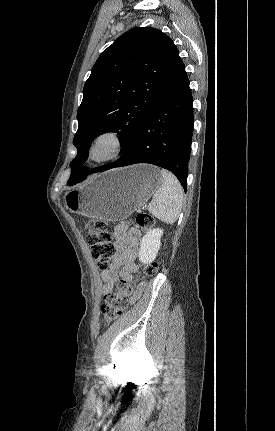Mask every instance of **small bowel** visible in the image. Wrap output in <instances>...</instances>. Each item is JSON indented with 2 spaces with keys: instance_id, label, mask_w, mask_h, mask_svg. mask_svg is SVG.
Returning <instances> with one entry per match:
<instances>
[{
  "instance_id": "obj_1",
  "label": "small bowel",
  "mask_w": 275,
  "mask_h": 431,
  "mask_svg": "<svg viewBox=\"0 0 275 431\" xmlns=\"http://www.w3.org/2000/svg\"><path fill=\"white\" fill-rule=\"evenodd\" d=\"M115 256L110 266L101 272L104 282L102 292L106 295L122 280H130L137 271L135 258L140 242V232L136 228L119 225L114 229ZM140 295V289L131 298L134 302Z\"/></svg>"
}]
</instances>
